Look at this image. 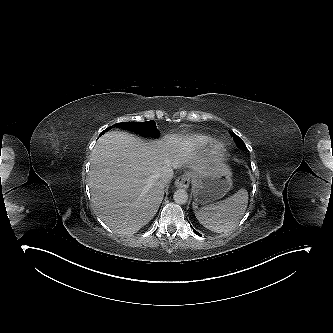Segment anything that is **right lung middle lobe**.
I'll return each instance as SVG.
<instances>
[{
	"label": "right lung middle lobe",
	"instance_id": "1",
	"mask_svg": "<svg viewBox=\"0 0 333 333\" xmlns=\"http://www.w3.org/2000/svg\"><path fill=\"white\" fill-rule=\"evenodd\" d=\"M113 127L122 128L128 131H132L144 137H158L159 132L156 128L154 120L146 122H122L116 123L111 127H108L104 131H109Z\"/></svg>",
	"mask_w": 333,
	"mask_h": 333
}]
</instances>
